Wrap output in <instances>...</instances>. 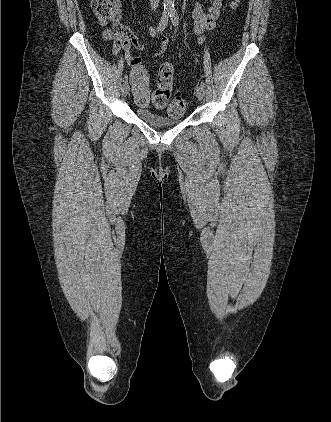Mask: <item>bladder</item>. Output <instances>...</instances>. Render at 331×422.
<instances>
[{
    "label": "bladder",
    "instance_id": "1",
    "mask_svg": "<svg viewBox=\"0 0 331 422\" xmlns=\"http://www.w3.org/2000/svg\"><path fill=\"white\" fill-rule=\"evenodd\" d=\"M135 113L142 121L153 127L175 126L183 120L182 116L170 117L144 108H137Z\"/></svg>",
    "mask_w": 331,
    "mask_h": 422
}]
</instances>
